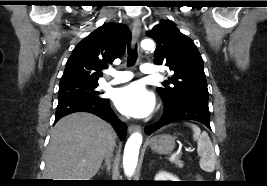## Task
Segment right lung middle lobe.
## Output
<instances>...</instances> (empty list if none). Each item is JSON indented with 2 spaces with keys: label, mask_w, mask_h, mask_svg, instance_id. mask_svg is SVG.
Instances as JSON below:
<instances>
[{
  "label": "right lung middle lobe",
  "mask_w": 267,
  "mask_h": 186,
  "mask_svg": "<svg viewBox=\"0 0 267 186\" xmlns=\"http://www.w3.org/2000/svg\"><path fill=\"white\" fill-rule=\"evenodd\" d=\"M98 83H73L60 85L58 91V98H66L71 96H83L93 99L104 100L100 97V92L96 90Z\"/></svg>",
  "instance_id": "obj_1"
}]
</instances>
